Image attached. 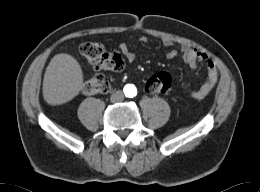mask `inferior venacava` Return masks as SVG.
I'll return each mask as SVG.
<instances>
[{
  "mask_svg": "<svg viewBox=\"0 0 260 192\" xmlns=\"http://www.w3.org/2000/svg\"><path fill=\"white\" fill-rule=\"evenodd\" d=\"M111 102H122L124 100V94L122 91H116L111 95Z\"/></svg>",
  "mask_w": 260,
  "mask_h": 192,
  "instance_id": "obj_1",
  "label": "inferior vena cava"
}]
</instances>
